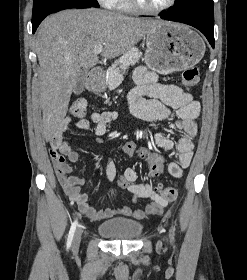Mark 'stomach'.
Segmentation results:
<instances>
[{"label": "stomach", "mask_w": 247, "mask_h": 280, "mask_svg": "<svg viewBox=\"0 0 247 280\" xmlns=\"http://www.w3.org/2000/svg\"><path fill=\"white\" fill-rule=\"evenodd\" d=\"M145 40L143 60L150 69L161 74L193 67L202 59L206 48L200 35L190 27L170 22L155 27Z\"/></svg>", "instance_id": "0dacf381"}]
</instances>
